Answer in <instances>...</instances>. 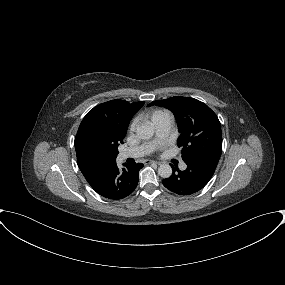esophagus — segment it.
<instances>
[{
  "label": "esophagus",
  "instance_id": "34e87169",
  "mask_svg": "<svg viewBox=\"0 0 285 285\" xmlns=\"http://www.w3.org/2000/svg\"><path fill=\"white\" fill-rule=\"evenodd\" d=\"M149 163H153V164H156V165H160L161 164V162H159V161H149Z\"/></svg>",
  "mask_w": 285,
  "mask_h": 285
}]
</instances>
